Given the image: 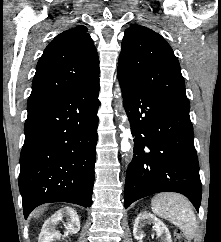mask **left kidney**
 <instances>
[{"mask_svg":"<svg viewBox=\"0 0 221 242\" xmlns=\"http://www.w3.org/2000/svg\"><path fill=\"white\" fill-rule=\"evenodd\" d=\"M145 222L153 224V230L158 237H161L163 242H172L171 234L166 225L156 216L147 211L139 213L134 222L133 236L135 239L139 240V242H142L141 240L144 237L142 227Z\"/></svg>","mask_w":221,"mask_h":242,"instance_id":"1","label":"left kidney"}]
</instances>
